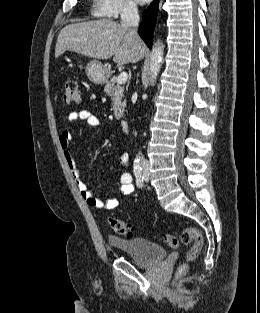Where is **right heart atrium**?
<instances>
[{"label": "right heart atrium", "instance_id": "right-heart-atrium-1", "mask_svg": "<svg viewBox=\"0 0 260 313\" xmlns=\"http://www.w3.org/2000/svg\"><path fill=\"white\" fill-rule=\"evenodd\" d=\"M137 12L133 0H93V13L99 17L118 18Z\"/></svg>", "mask_w": 260, "mask_h": 313}]
</instances>
